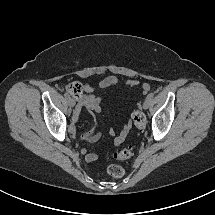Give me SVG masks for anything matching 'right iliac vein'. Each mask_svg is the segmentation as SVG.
<instances>
[{
	"instance_id": "obj_1",
	"label": "right iliac vein",
	"mask_w": 215,
	"mask_h": 215,
	"mask_svg": "<svg viewBox=\"0 0 215 215\" xmlns=\"http://www.w3.org/2000/svg\"><path fill=\"white\" fill-rule=\"evenodd\" d=\"M68 104L70 107H74L75 106V101L72 98H68Z\"/></svg>"
}]
</instances>
